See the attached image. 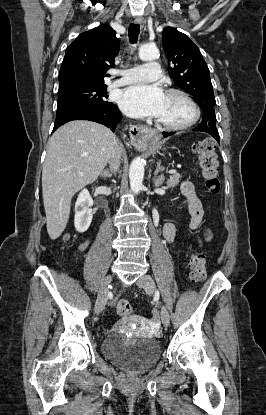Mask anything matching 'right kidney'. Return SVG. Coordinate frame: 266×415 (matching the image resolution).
Returning a JSON list of instances; mask_svg holds the SVG:
<instances>
[{
  "label": "right kidney",
  "mask_w": 266,
  "mask_h": 415,
  "mask_svg": "<svg viewBox=\"0 0 266 415\" xmlns=\"http://www.w3.org/2000/svg\"><path fill=\"white\" fill-rule=\"evenodd\" d=\"M93 205V199L91 198L87 189H83L77 198L75 204V217L74 225L78 232H85L92 221L93 214L91 206Z\"/></svg>",
  "instance_id": "1"
}]
</instances>
